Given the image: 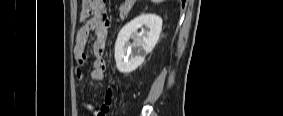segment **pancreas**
<instances>
[{"label": "pancreas", "instance_id": "cf45deb5", "mask_svg": "<svg viewBox=\"0 0 283 116\" xmlns=\"http://www.w3.org/2000/svg\"><path fill=\"white\" fill-rule=\"evenodd\" d=\"M129 11H130V7L127 4L121 6L120 7V18L123 19L125 16H127Z\"/></svg>", "mask_w": 283, "mask_h": 116}]
</instances>
